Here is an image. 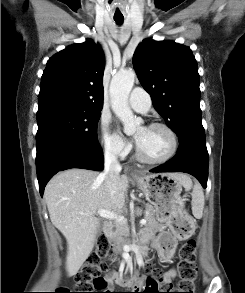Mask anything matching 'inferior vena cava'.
Listing matches in <instances>:
<instances>
[{
    "label": "inferior vena cava",
    "mask_w": 245,
    "mask_h": 293,
    "mask_svg": "<svg viewBox=\"0 0 245 293\" xmlns=\"http://www.w3.org/2000/svg\"><path fill=\"white\" fill-rule=\"evenodd\" d=\"M105 165L102 176L105 179L109 193L113 196L118 190V180L121 172V165L118 161V152L111 148H105Z\"/></svg>",
    "instance_id": "1"
}]
</instances>
